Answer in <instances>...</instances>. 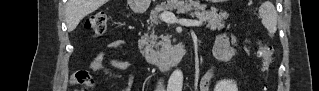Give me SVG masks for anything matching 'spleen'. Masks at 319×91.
Here are the masks:
<instances>
[{
	"label": "spleen",
	"mask_w": 319,
	"mask_h": 91,
	"mask_svg": "<svg viewBox=\"0 0 319 91\" xmlns=\"http://www.w3.org/2000/svg\"><path fill=\"white\" fill-rule=\"evenodd\" d=\"M259 15L263 26L272 37L277 31V12L270 1H265L259 8Z\"/></svg>",
	"instance_id": "spleen-1"
}]
</instances>
